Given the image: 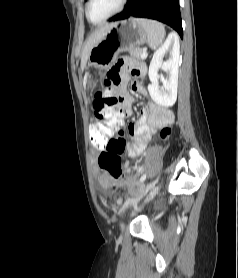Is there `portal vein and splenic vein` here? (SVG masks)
<instances>
[{
	"label": "portal vein and splenic vein",
	"mask_w": 238,
	"mask_h": 278,
	"mask_svg": "<svg viewBox=\"0 0 238 278\" xmlns=\"http://www.w3.org/2000/svg\"><path fill=\"white\" fill-rule=\"evenodd\" d=\"M146 57H147V50L144 49V50H143V53H142V55H141V58H142V59H145Z\"/></svg>",
	"instance_id": "18ae733b"
}]
</instances>
